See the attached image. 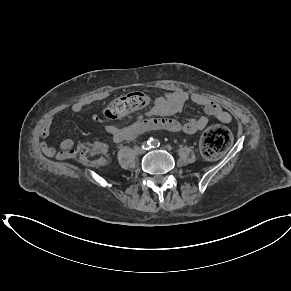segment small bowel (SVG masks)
Segmentation results:
<instances>
[{
  "mask_svg": "<svg viewBox=\"0 0 291 291\" xmlns=\"http://www.w3.org/2000/svg\"><path fill=\"white\" fill-rule=\"evenodd\" d=\"M107 95L87 96L74 102L69 110L72 113H81L88 106L104 100ZM192 102L200 106L206 115L190 116L186 122L181 123L178 120L169 118L170 116L180 115L184 111L185 104ZM143 116L148 118L143 120ZM208 116L216 118L221 123L227 124L232 120L231 114L226 111L219 103L213 100L209 95L198 92L189 91H170L160 89L159 95L154 103L146 109L142 114L138 115L135 121L126 127H117L107 125L105 131L112 137L115 143L131 141L140 134L150 130H165L169 132H183L188 135L197 133L203 130L209 123ZM53 116L47 117L40 131V149L48 157H53L57 160H66L74 156V141L66 138L60 141L59 151L52 145L46 143V138L50 134V128L53 123ZM92 122H99L97 115L91 117ZM104 152L107 151V146L103 143H98Z\"/></svg>",
  "mask_w": 291,
  "mask_h": 291,
  "instance_id": "c3829d8e",
  "label": "small bowel"
}]
</instances>
